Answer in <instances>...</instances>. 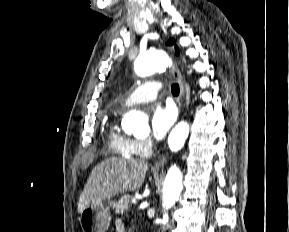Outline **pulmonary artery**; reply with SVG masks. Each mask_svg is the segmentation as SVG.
<instances>
[{
  "label": "pulmonary artery",
  "instance_id": "1",
  "mask_svg": "<svg viewBox=\"0 0 289 232\" xmlns=\"http://www.w3.org/2000/svg\"><path fill=\"white\" fill-rule=\"evenodd\" d=\"M160 88L161 84L156 81H150L139 86L125 100V106L130 107L135 104L155 100Z\"/></svg>",
  "mask_w": 289,
  "mask_h": 232
}]
</instances>
